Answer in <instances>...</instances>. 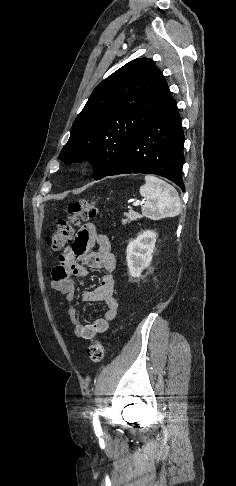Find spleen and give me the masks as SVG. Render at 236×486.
Instances as JSON below:
<instances>
[{"mask_svg": "<svg viewBox=\"0 0 236 486\" xmlns=\"http://www.w3.org/2000/svg\"><path fill=\"white\" fill-rule=\"evenodd\" d=\"M145 182L139 189L140 195L146 200L142 207L144 216L161 219L180 214L181 201L172 185L153 175H146Z\"/></svg>", "mask_w": 236, "mask_h": 486, "instance_id": "1", "label": "spleen"}]
</instances>
